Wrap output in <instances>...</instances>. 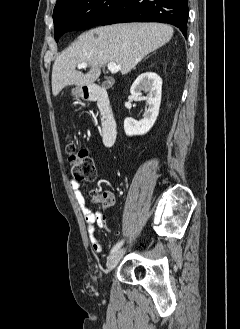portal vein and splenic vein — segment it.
<instances>
[{
    "mask_svg": "<svg viewBox=\"0 0 240 329\" xmlns=\"http://www.w3.org/2000/svg\"><path fill=\"white\" fill-rule=\"evenodd\" d=\"M87 66L88 63H81L77 67L78 69H85ZM107 67L112 74L117 73L121 69V65H117L114 62L108 63Z\"/></svg>",
    "mask_w": 240,
    "mask_h": 329,
    "instance_id": "portal-vein-and-splenic-vein-1",
    "label": "portal vein and splenic vein"
}]
</instances>
